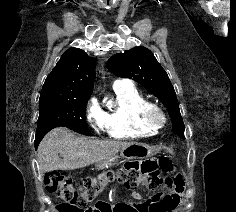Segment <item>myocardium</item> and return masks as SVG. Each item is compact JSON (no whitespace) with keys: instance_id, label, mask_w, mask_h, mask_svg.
<instances>
[{"instance_id":"myocardium-1","label":"myocardium","mask_w":236,"mask_h":212,"mask_svg":"<svg viewBox=\"0 0 236 212\" xmlns=\"http://www.w3.org/2000/svg\"><path fill=\"white\" fill-rule=\"evenodd\" d=\"M142 119L147 125L156 130L162 128L167 123V115L164 109L160 105L152 102H149L145 106L142 112Z\"/></svg>"}]
</instances>
